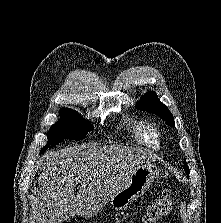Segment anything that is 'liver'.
Returning <instances> with one entry per match:
<instances>
[{
	"label": "liver",
	"instance_id": "6515ba94",
	"mask_svg": "<svg viewBox=\"0 0 221 223\" xmlns=\"http://www.w3.org/2000/svg\"><path fill=\"white\" fill-rule=\"evenodd\" d=\"M154 159L150 152L122 145L48 151L37 163L40 194L36 223L94 216L125 186L136 168ZM77 184L81 187L75 196Z\"/></svg>",
	"mask_w": 221,
	"mask_h": 223
}]
</instances>
